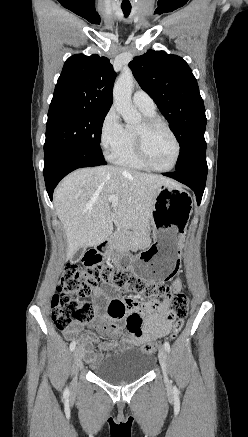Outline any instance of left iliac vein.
<instances>
[{
  "label": "left iliac vein",
  "instance_id": "left-iliac-vein-1",
  "mask_svg": "<svg viewBox=\"0 0 248 437\" xmlns=\"http://www.w3.org/2000/svg\"><path fill=\"white\" fill-rule=\"evenodd\" d=\"M159 362L163 371L164 381L168 383L167 377V353L164 348H161L158 353Z\"/></svg>",
  "mask_w": 248,
  "mask_h": 437
}]
</instances>
